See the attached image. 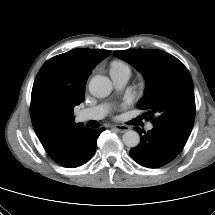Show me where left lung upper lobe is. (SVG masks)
I'll return each mask as SVG.
<instances>
[{"instance_id":"5c2ea615","label":"left lung upper lobe","mask_w":215,"mask_h":215,"mask_svg":"<svg viewBox=\"0 0 215 215\" xmlns=\"http://www.w3.org/2000/svg\"><path fill=\"white\" fill-rule=\"evenodd\" d=\"M114 55L146 76L145 95L137 107L154 117L153 126L187 141L195 119L194 87L187 68L176 57L156 49L118 50Z\"/></svg>"}]
</instances>
